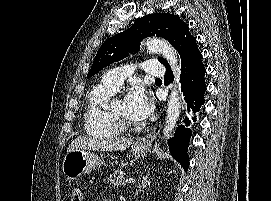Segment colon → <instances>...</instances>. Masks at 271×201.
<instances>
[{"instance_id": "colon-1", "label": "colon", "mask_w": 271, "mask_h": 201, "mask_svg": "<svg viewBox=\"0 0 271 201\" xmlns=\"http://www.w3.org/2000/svg\"><path fill=\"white\" fill-rule=\"evenodd\" d=\"M71 201H84L83 192L80 189H75L72 193Z\"/></svg>"}]
</instances>
